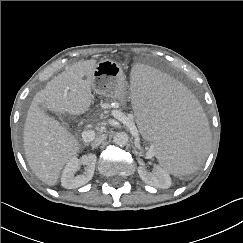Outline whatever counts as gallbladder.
<instances>
[{
	"mask_svg": "<svg viewBox=\"0 0 243 243\" xmlns=\"http://www.w3.org/2000/svg\"><path fill=\"white\" fill-rule=\"evenodd\" d=\"M39 108H40L43 112L47 113L48 116H50V117L53 118V119H56V118H58V116H59V119L61 120L62 125H63L65 128H69V124L64 120V116L59 115L58 111H56L55 109L50 108V109L47 110V108H46L45 106H43V105H40Z\"/></svg>",
	"mask_w": 243,
	"mask_h": 243,
	"instance_id": "gallbladder-1",
	"label": "gallbladder"
}]
</instances>
